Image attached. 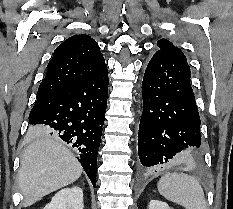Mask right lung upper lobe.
Returning <instances> with one entry per match:
<instances>
[{
    "label": "right lung upper lobe",
    "mask_w": 233,
    "mask_h": 209,
    "mask_svg": "<svg viewBox=\"0 0 233 209\" xmlns=\"http://www.w3.org/2000/svg\"><path fill=\"white\" fill-rule=\"evenodd\" d=\"M96 41L88 35H74L59 45L47 65L37 99L84 81L105 67Z\"/></svg>",
    "instance_id": "right-lung-upper-lobe-1"
}]
</instances>
